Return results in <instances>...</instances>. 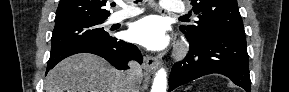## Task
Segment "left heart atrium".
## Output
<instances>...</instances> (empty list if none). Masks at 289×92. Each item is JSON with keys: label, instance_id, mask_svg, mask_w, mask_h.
Listing matches in <instances>:
<instances>
[{"label": "left heart atrium", "instance_id": "1", "mask_svg": "<svg viewBox=\"0 0 289 92\" xmlns=\"http://www.w3.org/2000/svg\"><path fill=\"white\" fill-rule=\"evenodd\" d=\"M128 36L132 42L150 50H161L169 43L166 27L157 16H147L134 22Z\"/></svg>", "mask_w": 289, "mask_h": 92}]
</instances>
